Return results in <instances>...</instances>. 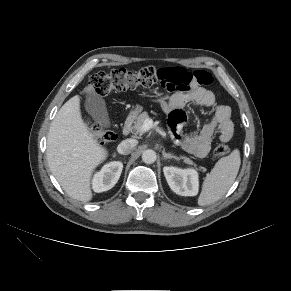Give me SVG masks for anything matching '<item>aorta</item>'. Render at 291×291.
<instances>
[{
  "instance_id": "aorta-1",
  "label": "aorta",
  "mask_w": 291,
  "mask_h": 291,
  "mask_svg": "<svg viewBox=\"0 0 291 291\" xmlns=\"http://www.w3.org/2000/svg\"><path fill=\"white\" fill-rule=\"evenodd\" d=\"M156 152L151 149H147L142 153V160L146 164H152L156 161Z\"/></svg>"
}]
</instances>
